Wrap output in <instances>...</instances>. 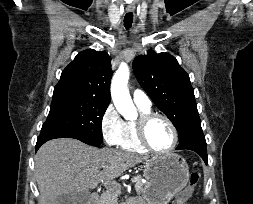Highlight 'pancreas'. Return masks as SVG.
<instances>
[{
    "label": "pancreas",
    "mask_w": 253,
    "mask_h": 204,
    "mask_svg": "<svg viewBox=\"0 0 253 204\" xmlns=\"http://www.w3.org/2000/svg\"><path fill=\"white\" fill-rule=\"evenodd\" d=\"M138 180L135 182V189L138 194L145 191L146 186L141 181V177L137 176ZM121 193V187L114 183L108 187L106 193H104L99 200L98 204H117L118 196Z\"/></svg>",
    "instance_id": "pancreas-1"
}]
</instances>
